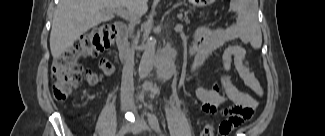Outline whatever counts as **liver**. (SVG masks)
<instances>
[{
  "mask_svg": "<svg viewBox=\"0 0 325 136\" xmlns=\"http://www.w3.org/2000/svg\"><path fill=\"white\" fill-rule=\"evenodd\" d=\"M60 0L54 13L50 34V50L57 59L91 28L113 19L114 14L128 7L142 14L145 0Z\"/></svg>",
  "mask_w": 325,
  "mask_h": 136,
  "instance_id": "1",
  "label": "liver"
}]
</instances>
